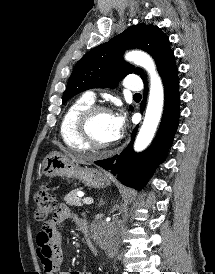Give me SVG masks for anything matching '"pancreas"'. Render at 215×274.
<instances>
[{"instance_id":"cf45deb5","label":"pancreas","mask_w":215,"mask_h":274,"mask_svg":"<svg viewBox=\"0 0 215 274\" xmlns=\"http://www.w3.org/2000/svg\"><path fill=\"white\" fill-rule=\"evenodd\" d=\"M81 188H77L71 191L64 197V201L69 206H82L80 198L77 196L78 192L81 191Z\"/></svg>"}]
</instances>
